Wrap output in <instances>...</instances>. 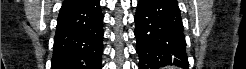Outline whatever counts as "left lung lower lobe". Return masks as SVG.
<instances>
[{"label": "left lung lower lobe", "mask_w": 246, "mask_h": 69, "mask_svg": "<svg viewBox=\"0 0 246 69\" xmlns=\"http://www.w3.org/2000/svg\"><path fill=\"white\" fill-rule=\"evenodd\" d=\"M135 36L139 69L188 67L180 10L170 0H139Z\"/></svg>", "instance_id": "1"}]
</instances>
